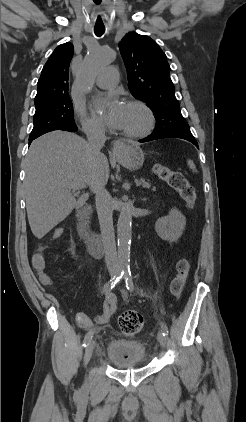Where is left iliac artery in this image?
<instances>
[{
  "label": "left iliac artery",
  "mask_w": 246,
  "mask_h": 422,
  "mask_svg": "<svg viewBox=\"0 0 246 422\" xmlns=\"http://www.w3.org/2000/svg\"><path fill=\"white\" fill-rule=\"evenodd\" d=\"M124 279H125V282H126V288L130 292L134 291L133 278H132V274H131L130 269L124 270ZM161 329L163 331V335L167 336L168 335V327L165 323L161 324Z\"/></svg>",
  "instance_id": "left-iliac-artery-1"
}]
</instances>
